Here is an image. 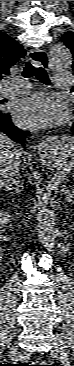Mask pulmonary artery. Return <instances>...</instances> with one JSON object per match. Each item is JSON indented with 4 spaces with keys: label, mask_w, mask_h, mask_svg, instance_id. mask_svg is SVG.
Instances as JSON below:
<instances>
[{
    "label": "pulmonary artery",
    "mask_w": 74,
    "mask_h": 366,
    "mask_svg": "<svg viewBox=\"0 0 74 366\" xmlns=\"http://www.w3.org/2000/svg\"><path fill=\"white\" fill-rule=\"evenodd\" d=\"M55 87L58 89L69 88L72 83V75L69 72L58 70L54 73ZM30 89V85L24 81L9 82L3 89L2 93L5 96H19Z\"/></svg>",
    "instance_id": "obj_1"
}]
</instances>
